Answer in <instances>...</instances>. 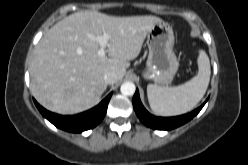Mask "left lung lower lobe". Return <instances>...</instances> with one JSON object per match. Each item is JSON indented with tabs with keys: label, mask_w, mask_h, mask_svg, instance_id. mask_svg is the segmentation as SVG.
Wrapping results in <instances>:
<instances>
[{
	"label": "left lung lower lobe",
	"mask_w": 248,
	"mask_h": 165,
	"mask_svg": "<svg viewBox=\"0 0 248 165\" xmlns=\"http://www.w3.org/2000/svg\"><path fill=\"white\" fill-rule=\"evenodd\" d=\"M132 101L137 116L146 126L157 130H171L190 121L194 116H196L199 113V111L205 105L207 100L202 106H200L199 108H197L196 110L190 113L177 117H168V118L155 117L150 113H148L140 101L138 90H136Z\"/></svg>",
	"instance_id": "1"
}]
</instances>
